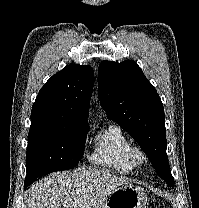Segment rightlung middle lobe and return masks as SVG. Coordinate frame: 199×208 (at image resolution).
Returning a JSON list of instances; mask_svg holds the SVG:
<instances>
[{"label": "right lung middle lobe", "mask_w": 199, "mask_h": 208, "mask_svg": "<svg viewBox=\"0 0 199 208\" xmlns=\"http://www.w3.org/2000/svg\"><path fill=\"white\" fill-rule=\"evenodd\" d=\"M89 125H64L48 121H31L26 154L25 182L38 176L70 169L78 165L84 152Z\"/></svg>", "instance_id": "1"}]
</instances>
